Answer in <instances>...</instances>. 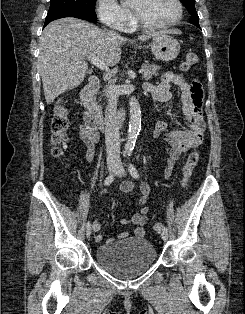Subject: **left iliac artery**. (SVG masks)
<instances>
[{"label": "left iliac artery", "mask_w": 245, "mask_h": 314, "mask_svg": "<svg viewBox=\"0 0 245 314\" xmlns=\"http://www.w3.org/2000/svg\"><path fill=\"white\" fill-rule=\"evenodd\" d=\"M128 170H129L132 177H134L136 179L139 178V173L133 164L129 163ZM163 231L167 232L168 231L167 227H164Z\"/></svg>", "instance_id": "1"}]
</instances>
